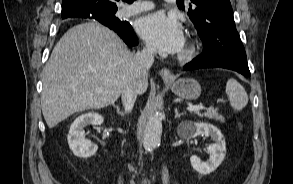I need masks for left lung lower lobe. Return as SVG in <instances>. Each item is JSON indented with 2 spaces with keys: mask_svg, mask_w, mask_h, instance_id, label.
Instances as JSON below:
<instances>
[{
  "mask_svg": "<svg viewBox=\"0 0 293 184\" xmlns=\"http://www.w3.org/2000/svg\"><path fill=\"white\" fill-rule=\"evenodd\" d=\"M222 67L235 70L244 76H250L245 49L236 31L221 35L213 48L185 66L186 70L198 68Z\"/></svg>",
  "mask_w": 293,
  "mask_h": 184,
  "instance_id": "0a47b994",
  "label": "left lung lower lobe"
}]
</instances>
